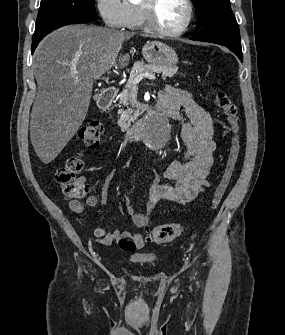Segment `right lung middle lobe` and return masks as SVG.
Here are the masks:
<instances>
[{
	"instance_id": "right-lung-middle-lobe-1",
	"label": "right lung middle lobe",
	"mask_w": 285,
	"mask_h": 335,
	"mask_svg": "<svg viewBox=\"0 0 285 335\" xmlns=\"http://www.w3.org/2000/svg\"><path fill=\"white\" fill-rule=\"evenodd\" d=\"M64 16L98 18L92 0H41L36 26Z\"/></svg>"
}]
</instances>
